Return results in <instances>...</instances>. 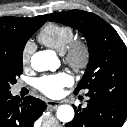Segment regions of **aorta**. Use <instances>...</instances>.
<instances>
[{
    "mask_svg": "<svg viewBox=\"0 0 127 127\" xmlns=\"http://www.w3.org/2000/svg\"><path fill=\"white\" fill-rule=\"evenodd\" d=\"M59 65V60L53 51L45 50L33 54L31 57V66L34 70L42 72L47 70H56ZM57 118L63 122L68 123L74 118V109L70 105H60L57 108Z\"/></svg>",
    "mask_w": 127,
    "mask_h": 127,
    "instance_id": "762f6f07",
    "label": "aorta"
}]
</instances>
